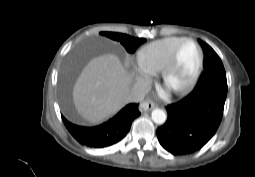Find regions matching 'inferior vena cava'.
<instances>
[{
	"mask_svg": "<svg viewBox=\"0 0 255 177\" xmlns=\"http://www.w3.org/2000/svg\"><path fill=\"white\" fill-rule=\"evenodd\" d=\"M149 90L150 86L145 82L135 84L133 88L128 92L126 96V102L142 101Z\"/></svg>",
	"mask_w": 255,
	"mask_h": 177,
	"instance_id": "1",
	"label": "inferior vena cava"
}]
</instances>
